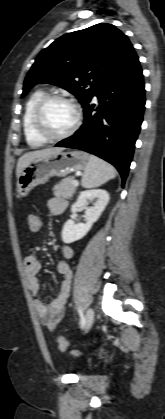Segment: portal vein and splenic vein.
<instances>
[{"instance_id": "18ae733b", "label": "portal vein and splenic vein", "mask_w": 165, "mask_h": 419, "mask_svg": "<svg viewBox=\"0 0 165 419\" xmlns=\"http://www.w3.org/2000/svg\"><path fill=\"white\" fill-rule=\"evenodd\" d=\"M72 184H73L74 186H78V184H79V183H78V181H77V180H73V181H72Z\"/></svg>"}]
</instances>
